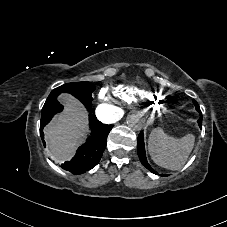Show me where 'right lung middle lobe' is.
Returning <instances> with one entry per match:
<instances>
[{
  "label": "right lung middle lobe",
  "instance_id": "obj_1",
  "mask_svg": "<svg viewBox=\"0 0 227 227\" xmlns=\"http://www.w3.org/2000/svg\"><path fill=\"white\" fill-rule=\"evenodd\" d=\"M95 85L90 82L67 83L55 88L49 94L43 108L42 113L46 112L50 105L57 101V96L63 92H67L75 96L80 101H92V92L95 90Z\"/></svg>",
  "mask_w": 227,
  "mask_h": 227
}]
</instances>
